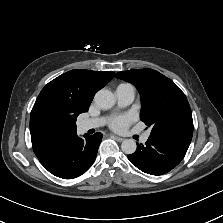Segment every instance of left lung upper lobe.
<instances>
[{
    "label": "left lung upper lobe",
    "instance_id": "obj_1",
    "mask_svg": "<svg viewBox=\"0 0 223 223\" xmlns=\"http://www.w3.org/2000/svg\"><path fill=\"white\" fill-rule=\"evenodd\" d=\"M116 77L138 89L142 102L140 119L152 127L150 137L189 147L192 112L185 94L171 79L148 68L118 72Z\"/></svg>",
    "mask_w": 223,
    "mask_h": 223
}]
</instances>
